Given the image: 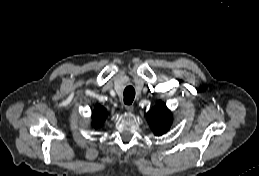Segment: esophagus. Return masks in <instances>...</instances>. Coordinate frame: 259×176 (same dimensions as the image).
I'll list each match as a JSON object with an SVG mask.
<instances>
[{
    "instance_id": "1",
    "label": "esophagus",
    "mask_w": 259,
    "mask_h": 176,
    "mask_svg": "<svg viewBox=\"0 0 259 176\" xmlns=\"http://www.w3.org/2000/svg\"><path fill=\"white\" fill-rule=\"evenodd\" d=\"M125 108H126V110H127L129 113L133 112V110H134L133 105H126Z\"/></svg>"
}]
</instances>
